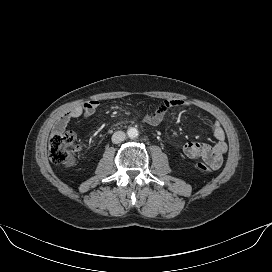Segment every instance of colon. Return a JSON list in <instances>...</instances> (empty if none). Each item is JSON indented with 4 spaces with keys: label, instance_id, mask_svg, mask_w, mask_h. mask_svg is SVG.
<instances>
[{
    "label": "colon",
    "instance_id": "5ec220e1",
    "mask_svg": "<svg viewBox=\"0 0 272 272\" xmlns=\"http://www.w3.org/2000/svg\"><path fill=\"white\" fill-rule=\"evenodd\" d=\"M49 156L54 164L71 167L75 163V152L77 150L75 135L71 132H53L49 138ZM196 168L208 173L211 167L199 162Z\"/></svg>",
    "mask_w": 272,
    "mask_h": 272
}]
</instances>
